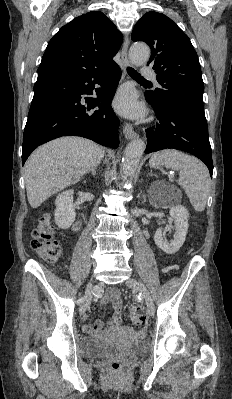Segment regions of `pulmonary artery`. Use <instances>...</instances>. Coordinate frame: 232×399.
<instances>
[{
	"instance_id": "e3ab8cb5",
	"label": "pulmonary artery",
	"mask_w": 232,
	"mask_h": 399,
	"mask_svg": "<svg viewBox=\"0 0 232 399\" xmlns=\"http://www.w3.org/2000/svg\"><path fill=\"white\" fill-rule=\"evenodd\" d=\"M155 71L154 69H145L143 78L144 80H154L155 78Z\"/></svg>"
}]
</instances>
